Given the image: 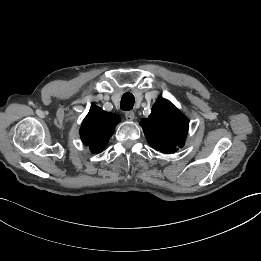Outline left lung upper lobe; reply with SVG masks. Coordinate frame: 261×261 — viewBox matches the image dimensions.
<instances>
[{
  "label": "left lung upper lobe",
  "mask_w": 261,
  "mask_h": 261,
  "mask_svg": "<svg viewBox=\"0 0 261 261\" xmlns=\"http://www.w3.org/2000/svg\"><path fill=\"white\" fill-rule=\"evenodd\" d=\"M148 143L156 150L170 154L182 148L187 136V118L168 100L159 97L148 118L141 120Z\"/></svg>",
  "instance_id": "1"
}]
</instances>
